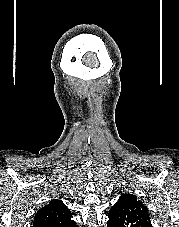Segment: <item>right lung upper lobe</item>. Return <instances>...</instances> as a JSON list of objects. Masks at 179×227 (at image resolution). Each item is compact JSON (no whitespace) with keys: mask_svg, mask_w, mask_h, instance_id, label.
<instances>
[{"mask_svg":"<svg viewBox=\"0 0 179 227\" xmlns=\"http://www.w3.org/2000/svg\"><path fill=\"white\" fill-rule=\"evenodd\" d=\"M70 210L61 200L50 201L40 208L33 221V227H76Z\"/></svg>","mask_w":179,"mask_h":227,"instance_id":"right-lung-upper-lobe-1","label":"right lung upper lobe"}]
</instances>
